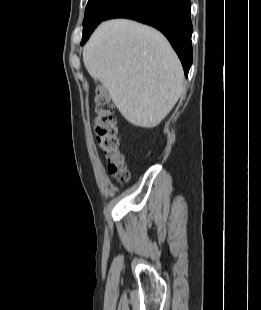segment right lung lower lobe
<instances>
[{
    "mask_svg": "<svg viewBox=\"0 0 261 310\" xmlns=\"http://www.w3.org/2000/svg\"><path fill=\"white\" fill-rule=\"evenodd\" d=\"M190 0H125L104 20L111 18H130L151 25L160 30L169 40L188 76L192 65V23L190 19ZM93 30L83 37V45Z\"/></svg>",
    "mask_w": 261,
    "mask_h": 310,
    "instance_id": "1",
    "label": "right lung lower lobe"
}]
</instances>
